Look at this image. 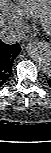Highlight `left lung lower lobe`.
<instances>
[{
    "label": "left lung lower lobe",
    "mask_w": 51,
    "mask_h": 153,
    "mask_svg": "<svg viewBox=\"0 0 51 153\" xmlns=\"http://www.w3.org/2000/svg\"><path fill=\"white\" fill-rule=\"evenodd\" d=\"M48 84L51 86V79L48 80Z\"/></svg>",
    "instance_id": "0a47b994"
}]
</instances>
